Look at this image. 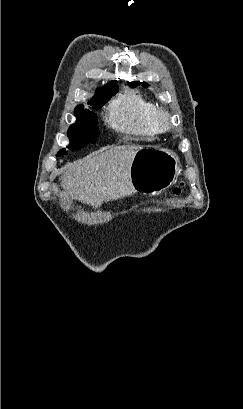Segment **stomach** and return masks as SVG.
Here are the masks:
<instances>
[{
  "label": "stomach",
  "mask_w": 243,
  "mask_h": 409,
  "mask_svg": "<svg viewBox=\"0 0 243 409\" xmlns=\"http://www.w3.org/2000/svg\"><path fill=\"white\" fill-rule=\"evenodd\" d=\"M178 157L161 148L139 149L131 163V186L134 192L159 194L173 183L178 171Z\"/></svg>",
  "instance_id": "1"
}]
</instances>
